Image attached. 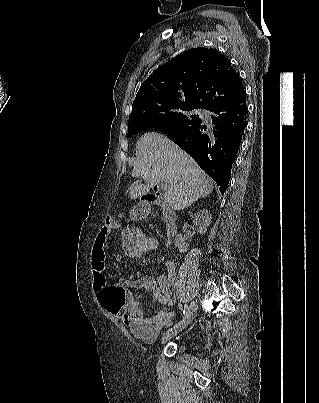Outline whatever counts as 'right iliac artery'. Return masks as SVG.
Here are the masks:
<instances>
[{"mask_svg":"<svg viewBox=\"0 0 319 403\" xmlns=\"http://www.w3.org/2000/svg\"><path fill=\"white\" fill-rule=\"evenodd\" d=\"M188 309H189L188 306H187V305H184L183 317L187 314Z\"/></svg>","mask_w":319,"mask_h":403,"instance_id":"right-iliac-artery-1","label":"right iliac artery"}]
</instances>
